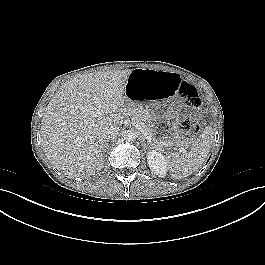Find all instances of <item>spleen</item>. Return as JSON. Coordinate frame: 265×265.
<instances>
[{"label":"spleen","instance_id":"1","mask_svg":"<svg viewBox=\"0 0 265 265\" xmlns=\"http://www.w3.org/2000/svg\"><path fill=\"white\" fill-rule=\"evenodd\" d=\"M213 132L205 129L191 146L189 152L183 155L171 154L167 157V166L171 176L181 179L191 175L204 163L212 144Z\"/></svg>","mask_w":265,"mask_h":265}]
</instances>
